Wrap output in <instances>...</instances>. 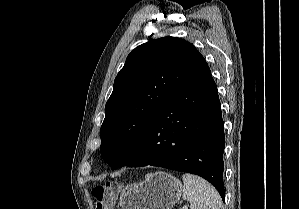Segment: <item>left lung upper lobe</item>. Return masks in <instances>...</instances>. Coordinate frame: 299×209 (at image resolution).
<instances>
[{"label":"left lung upper lobe","mask_w":299,"mask_h":209,"mask_svg":"<svg viewBox=\"0 0 299 209\" xmlns=\"http://www.w3.org/2000/svg\"><path fill=\"white\" fill-rule=\"evenodd\" d=\"M207 63L193 44L163 37L136 47L114 81L100 128L101 155L113 168L125 164L163 104Z\"/></svg>","instance_id":"obj_1"}]
</instances>
